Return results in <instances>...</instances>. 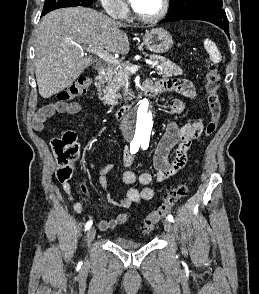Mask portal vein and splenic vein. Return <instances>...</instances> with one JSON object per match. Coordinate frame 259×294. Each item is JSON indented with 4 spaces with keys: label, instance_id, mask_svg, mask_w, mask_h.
<instances>
[{
    "label": "portal vein and splenic vein",
    "instance_id": "portal-vein-and-splenic-vein-1",
    "mask_svg": "<svg viewBox=\"0 0 259 294\" xmlns=\"http://www.w3.org/2000/svg\"><path fill=\"white\" fill-rule=\"evenodd\" d=\"M84 50L87 52H92V53L98 55L105 62L121 66V63L117 59H115L111 54L104 51L100 47H93V46L89 45V47L84 48ZM146 63L151 67L158 66V64H159L158 61H146ZM139 68H140V66H138V65L125 66V69L131 73H135L136 71H138Z\"/></svg>",
    "mask_w": 259,
    "mask_h": 294
}]
</instances>
